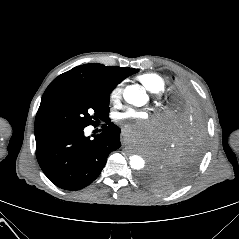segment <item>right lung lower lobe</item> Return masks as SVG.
<instances>
[{
  "label": "right lung lower lobe",
  "instance_id": "obj_1",
  "mask_svg": "<svg viewBox=\"0 0 239 239\" xmlns=\"http://www.w3.org/2000/svg\"><path fill=\"white\" fill-rule=\"evenodd\" d=\"M85 127L35 129L38 163L56 186L79 190L92 183L101 173L110 152L121 146L120 128L109 122L103 132L84 135Z\"/></svg>",
  "mask_w": 239,
  "mask_h": 239
}]
</instances>
